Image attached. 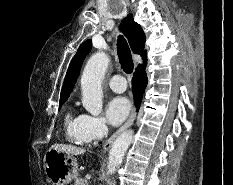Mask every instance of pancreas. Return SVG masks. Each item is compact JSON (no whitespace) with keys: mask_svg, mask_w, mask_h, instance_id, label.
Returning a JSON list of instances; mask_svg holds the SVG:
<instances>
[{"mask_svg":"<svg viewBox=\"0 0 233 185\" xmlns=\"http://www.w3.org/2000/svg\"><path fill=\"white\" fill-rule=\"evenodd\" d=\"M74 185H88L87 180L83 178H76Z\"/></svg>","mask_w":233,"mask_h":185,"instance_id":"cf45deb5","label":"pancreas"}]
</instances>
